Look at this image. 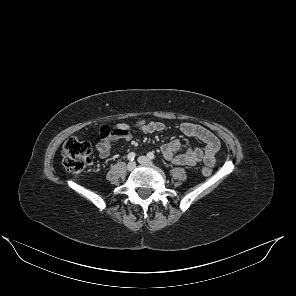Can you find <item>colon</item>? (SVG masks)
I'll return each instance as SVG.
<instances>
[{
  "label": "colon",
  "instance_id": "obj_1",
  "mask_svg": "<svg viewBox=\"0 0 296 296\" xmlns=\"http://www.w3.org/2000/svg\"><path fill=\"white\" fill-rule=\"evenodd\" d=\"M91 146L85 141H80L77 138H69L63 147L62 161L66 170L72 174L81 173L86 165L91 161ZM212 165L205 164L202 168L204 175L212 173Z\"/></svg>",
  "mask_w": 296,
  "mask_h": 296
}]
</instances>
